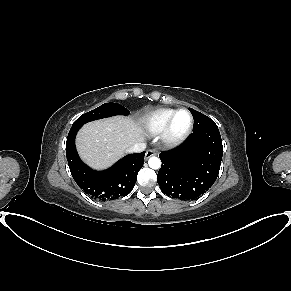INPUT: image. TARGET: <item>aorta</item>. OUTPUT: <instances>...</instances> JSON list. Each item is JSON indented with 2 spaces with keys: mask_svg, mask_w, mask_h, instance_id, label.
<instances>
[{
  "mask_svg": "<svg viewBox=\"0 0 291 291\" xmlns=\"http://www.w3.org/2000/svg\"><path fill=\"white\" fill-rule=\"evenodd\" d=\"M148 164L152 169H159L161 167V161L158 157H151L148 161Z\"/></svg>",
  "mask_w": 291,
  "mask_h": 291,
  "instance_id": "1",
  "label": "aorta"
}]
</instances>
